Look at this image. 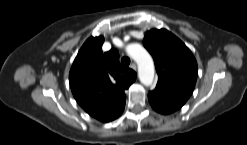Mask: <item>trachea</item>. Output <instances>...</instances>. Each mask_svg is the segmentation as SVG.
<instances>
[{"mask_svg": "<svg viewBox=\"0 0 247 145\" xmlns=\"http://www.w3.org/2000/svg\"><path fill=\"white\" fill-rule=\"evenodd\" d=\"M121 64H122L123 66H128V65L130 64V58H129V57H123V58L121 59Z\"/></svg>", "mask_w": 247, "mask_h": 145, "instance_id": "obj_1", "label": "trachea"}]
</instances>
